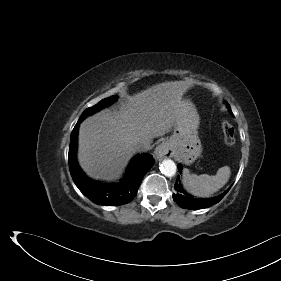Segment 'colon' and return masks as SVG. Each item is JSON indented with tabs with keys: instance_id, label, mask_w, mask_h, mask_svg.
Here are the masks:
<instances>
[{
	"instance_id": "1",
	"label": "colon",
	"mask_w": 281,
	"mask_h": 281,
	"mask_svg": "<svg viewBox=\"0 0 281 281\" xmlns=\"http://www.w3.org/2000/svg\"><path fill=\"white\" fill-rule=\"evenodd\" d=\"M221 126L224 135V143L227 146H232L235 143V134L232 125L228 121L224 120L222 121Z\"/></svg>"
}]
</instances>
